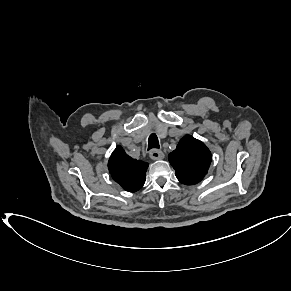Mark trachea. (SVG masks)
<instances>
[{"label": "trachea", "mask_w": 291, "mask_h": 291, "mask_svg": "<svg viewBox=\"0 0 291 291\" xmlns=\"http://www.w3.org/2000/svg\"><path fill=\"white\" fill-rule=\"evenodd\" d=\"M153 148H159V141L156 134H151L148 139V150Z\"/></svg>", "instance_id": "trachea-1"}]
</instances>
